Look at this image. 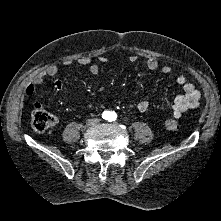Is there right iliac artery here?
I'll return each instance as SVG.
<instances>
[{
  "instance_id": "82829eb1",
  "label": "right iliac artery",
  "mask_w": 221,
  "mask_h": 221,
  "mask_svg": "<svg viewBox=\"0 0 221 221\" xmlns=\"http://www.w3.org/2000/svg\"><path fill=\"white\" fill-rule=\"evenodd\" d=\"M108 115H109V112H108V111L103 112V118H104V119H105L106 117H108Z\"/></svg>"
}]
</instances>
